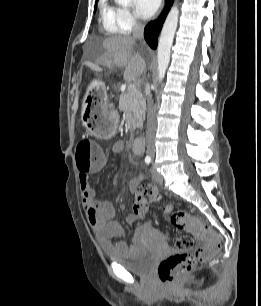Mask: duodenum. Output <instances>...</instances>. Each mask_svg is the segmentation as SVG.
Segmentation results:
<instances>
[{
    "instance_id": "410a0bca",
    "label": "duodenum",
    "mask_w": 261,
    "mask_h": 306,
    "mask_svg": "<svg viewBox=\"0 0 261 306\" xmlns=\"http://www.w3.org/2000/svg\"><path fill=\"white\" fill-rule=\"evenodd\" d=\"M132 149L134 153H141L144 149V138L142 136L136 138L132 142Z\"/></svg>"
}]
</instances>
